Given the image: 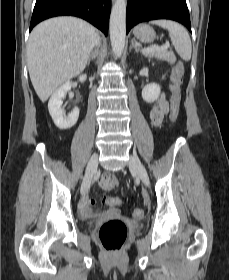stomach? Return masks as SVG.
Masks as SVG:
<instances>
[{
    "instance_id": "1",
    "label": "stomach",
    "mask_w": 229,
    "mask_h": 280,
    "mask_svg": "<svg viewBox=\"0 0 229 280\" xmlns=\"http://www.w3.org/2000/svg\"><path fill=\"white\" fill-rule=\"evenodd\" d=\"M133 34L142 43H151L156 38V33L152 27L146 24H139L133 29Z\"/></svg>"
}]
</instances>
